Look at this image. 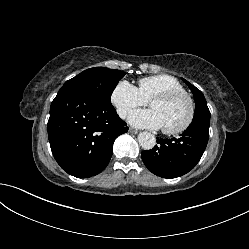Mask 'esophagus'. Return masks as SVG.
<instances>
[{
    "mask_svg": "<svg viewBox=\"0 0 249 249\" xmlns=\"http://www.w3.org/2000/svg\"><path fill=\"white\" fill-rule=\"evenodd\" d=\"M128 131H129V133H132V134H137L138 133V131L133 129V128H129Z\"/></svg>",
    "mask_w": 249,
    "mask_h": 249,
    "instance_id": "obj_1",
    "label": "esophagus"
}]
</instances>
